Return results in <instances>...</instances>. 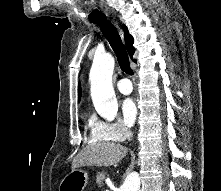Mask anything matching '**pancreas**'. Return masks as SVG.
Instances as JSON below:
<instances>
[{
  "mask_svg": "<svg viewBox=\"0 0 221 191\" xmlns=\"http://www.w3.org/2000/svg\"><path fill=\"white\" fill-rule=\"evenodd\" d=\"M106 177V173L105 172H98L96 175V183L99 187H102L104 185L103 181Z\"/></svg>",
  "mask_w": 221,
  "mask_h": 191,
  "instance_id": "1",
  "label": "pancreas"
}]
</instances>
